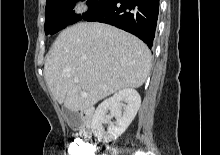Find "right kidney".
Returning <instances> with one entry per match:
<instances>
[{
    "label": "right kidney",
    "mask_w": 220,
    "mask_h": 155,
    "mask_svg": "<svg viewBox=\"0 0 220 155\" xmlns=\"http://www.w3.org/2000/svg\"><path fill=\"white\" fill-rule=\"evenodd\" d=\"M123 102L127 103L122 112ZM141 104L139 93L132 89H123L113 95V97L101 103L92 118L91 129L98 139H103L108 143L121 136L131 122L134 120ZM111 111L110 116H106L107 111ZM114 117L116 122H112ZM108 124L107 130L103 124Z\"/></svg>",
    "instance_id": "right-kidney-1"
}]
</instances>
